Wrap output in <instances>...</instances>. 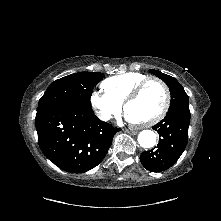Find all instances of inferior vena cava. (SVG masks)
I'll use <instances>...</instances> for the list:
<instances>
[{"mask_svg": "<svg viewBox=\"0 0 221 221\" xmlns=\"http://www.w3.org/2000/svg\"><path fill=\"white\" fill-rule=\"evenodd\" d=\"M99 117H100V119H102L104 121H107L110 119V115L107 113H103V112H100Z\"/></svg>", "mask_w": 221, "mask_h": 221, "instance_id": "inferior-vena-cava-1", "label": "inferior vena cava"}]
</instances>
